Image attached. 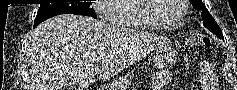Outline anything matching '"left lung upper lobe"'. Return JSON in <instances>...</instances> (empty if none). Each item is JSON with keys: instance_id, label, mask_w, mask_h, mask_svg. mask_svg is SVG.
I'll return each mask as SVG.
<instances>
[{"instance_id": "left-lung-upper-lobe-1", "label": "left lung upper lobe", "mask_w": 237, "mask_h": 90, "mask_svg": "<svg viewBox=\"0 0 237 90\" xmlns=\"http://www.w3.org/2000/svg\"><path fill=\"white\" fill-rule=\"evenodd\" d=\"M190 2L192 3L193 7L196 9L201 10V17L204 20L203 21V25L212 33L216 34L220 39H223V34L222 31L220 29V27L218 26V24L216 23V21L214 20V18L210 15V13L208 12L205 4L201 1V0H190Z\"/></svg>"}]
</instances>
